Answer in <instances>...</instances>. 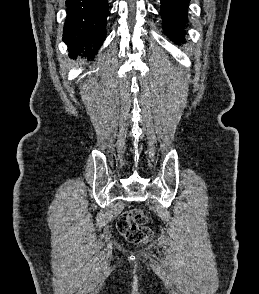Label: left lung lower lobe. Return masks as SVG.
Here are the masks:
<instances>
[{"mask_svg":"<svg viewBox=\"0 0 259 294\" xmlns=\"http://www.w3.org/2000/svg\"><path fill=\"white\" fill-rule=\"evenodd\" d=\"M163 30L176 43L181 44L186 32L187 9L190 0H160Z\"/></svg>","mask_w":259,"mask_h":294,"instance_id":"1","label":"left lung lower lobe"}]
</instances>
